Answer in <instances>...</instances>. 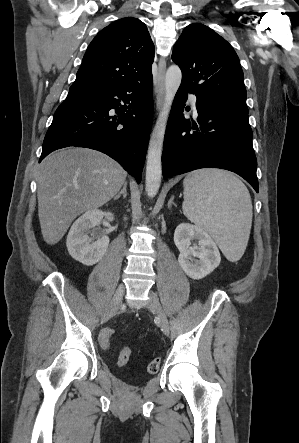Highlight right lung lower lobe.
Masks as SVG:
<instances>
[{
    "instance_id": "obj_1",
    "label": "right lung lower lobe",
    "mask_w": 299,
    "mask_h": 443,
    "mask_svg": "<svg viewBox=\"0 0 299 443\" xmlns=\"http://www.w3.org/2000/svg\"><path fill=\"white\" fill-rule=\"evenodd\" d=\"M152 87L151 76L117 86L69 91L54 114L39 162L60 148H91L118 161L140 183L152 125Z\"/></svg>"
}]
</instances>
